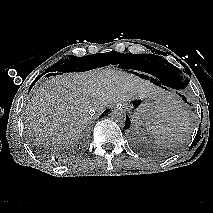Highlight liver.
I'll return each instance as SVG.
<instances>
[{
	"label": "liver",
	"instance_id": "6515ba94",
	"mask_svg": "<svg viewBox=\"0 0 213 213\" xmlns=\"http://www.w3.org/2000/svg\"><path fill=\"white\" fill-rule=\"evenodd\" d=\"M137 98L162 105L171 96L134 74L120 70H91L54 76L41 84L27 107L30 126L39 141L54 148L74 142L92 119L90 112Z\"/></svg>",
	"mask_w": 213,
	"mask_h": 213
}]
</instances>
